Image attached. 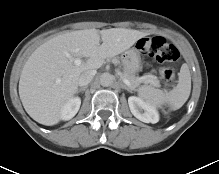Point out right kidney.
<instances>
[{
	"instance_id": "ca27d5eb",
	"label": "right kidney",
	"mask_w": 219,
	"mask_h": 174,
	"mask_svg": "<svg viewBox=\"0 0 219 174\" xmlns=\"http://www.w3.org/2000/svg\"><path fill=\"white\" fill-rule=\"evenodd\" d=\"M81 105V99L79 97H74L70 99L61 111L62 120L72 119L78 112Z\"/></svg>"
}]
</instances>
